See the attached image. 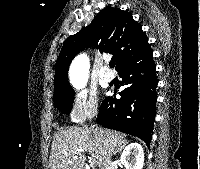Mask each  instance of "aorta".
<instances>
[{
  "instance_id": "1",
  "label": "aorta",
  "mask_w": 200,
  "mask_h": 169,
  "mask_svg": "<svg viewBox=\"0 0 200 169\" xmlns=\"http://www.w3.org/2000/svg\"><path fill=\"white\" fill-rule=\"evenodd\" d=\"M89 73V59L86 54L77 56L70 66L69 76L75 88L85 86Z\"/></svg>"
}]
</instances>
